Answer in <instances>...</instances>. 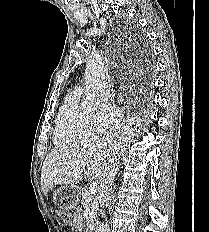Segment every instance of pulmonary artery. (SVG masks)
<instances>
[{
    "instance_id": "pulmonary-artery-1",
    "label": "pulmonary artery",
    "mask_w": 209,
    "mask_h": 232,
    "mask_svg": "<svg viewBox=\"0 0 209 232\" xmlns=\"http://www.w3.org/2000/svg\"><path fill=\"white\" fill-rule=\"evenodd\" d=\"M76 89L79 90V91H81V88H80V87H77Z\"/></svg>"
}]
</instances>
